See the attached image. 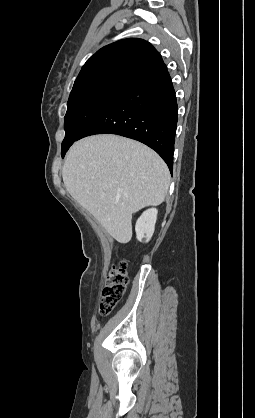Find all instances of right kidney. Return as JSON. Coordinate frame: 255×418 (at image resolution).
<instances>
[{
    "label": "right kidney",
    "instance_id": "ca27d5eb",
    "mask_svg": "<svg viewBox=\"0 0 255 418\" xmlns=\"http://www.w3.org/2000/svg\"><path fill=\"white\" fill-rule=\"evenodd\" d=\"M157 209L152 208L144 211L136 222L135 231L140 242H148L155 230Z\"/></svg>",
    "mask_w": 255,
    "mask_h": 418
}]
</instances>
